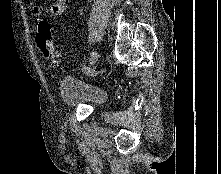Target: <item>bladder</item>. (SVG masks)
Returning <instances> with one entry per match:
<instances>
[{"instance_id": "obj_1", "label": "bladder", "mask_w": 221, "mask_h": 174, "mask_svg": "<svg viewBox=\"0 0 221 174\" xmlns=\"http://www.w3.org/2000/svg\"><path fill=\"white\" fill-rule=\"evenodd\" d=\"M59 96L69 107L81 104L97 107L106 101V94L102 89L71 75L61 79Z\"/></svg>"}]
</instances>
